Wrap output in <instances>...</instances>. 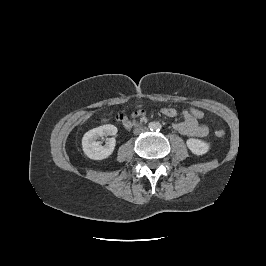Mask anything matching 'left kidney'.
I'll return each instance as SVG.
<instances>
[{
	"instance_id": "5707ae66",
	"label": "left kidney",
	"mask_w": 266,
	"mask_h": 266,
	"mask_svg": "<svg viewBox=\"0 0 266 266\" xmlns=\"http://www.w3.org/2000/svg\"><path fill=\"white\" fill-rule=\"evenodd\" d=\"M187 147L195 155H203L210 149V145L199 139L190 138L186 141Z\"/></svg>"
}]
</instances>
